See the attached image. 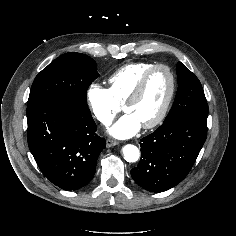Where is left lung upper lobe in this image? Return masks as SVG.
Listing matches in <instances>:
<instances>
[{"mask_svg":"<svg viewBox=\"0 0 236 236\" xmlns=\"http://www.w3.org/2000/svg\"><path fill=\"white\" fill-rule=\"evenodd\" d=\"M178 90L173 106L164 123L178 117L208 116V105L202 85L196 75L179 62L177 64Z\"/></svg>","mask_w":236,"mask_h":236,"instance_id":"left-lung-upper-lobe-1","label":"left lung upper lobe"}]
</instances>
